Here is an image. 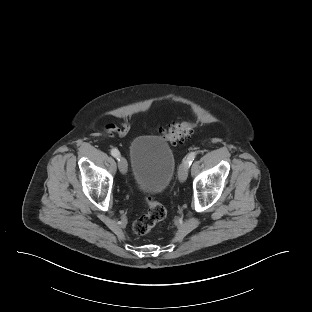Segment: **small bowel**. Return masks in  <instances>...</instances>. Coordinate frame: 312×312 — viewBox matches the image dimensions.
I'll list each match as a JSON object with an SVG mask.
<instances>
[{"label":"small bowel","mask_w":312,"mask_h":312,"mask_svg":"<svg viewBox=\"0 0 312 312\" xmlns=\"http://www.w3.org/2000/svg\"><path fill=\"white\" fill-rule=\"evenodd\" d=\"M130 130L127 122H122L120 125L109 123L104 126L103 131L109 136H125Z\"/></svg>","instance_id":"1"}]
</instances>
